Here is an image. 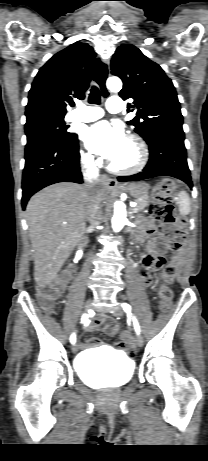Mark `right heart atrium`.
Listing matches in <instances>:
<instances>
[{
  "mask_svg": "<svg viewBox=\"0 0 208 461\" xmlns=\"http://www.w3.org/2000/svg\"><path fill=\"white\" fill-rule=\"evenodd\" d=\"M81 162L84 166L92 167L95 165L94 156L88 151L81 152Z\"/></svg>",
  "mask_w": 208,
  "mask_h": 461,
  "instance_id": "right-heart-atrium-1",
  "label": "right heart atrium"
}]
</instances>
